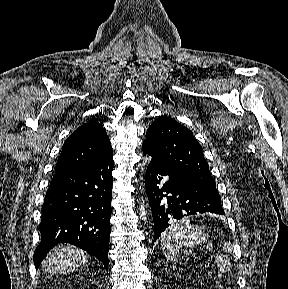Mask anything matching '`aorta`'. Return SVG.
I'll list each match as a JSON object with an SVG mask.
<instances>
[{
	"label": "aorta",
	"mask_w": 288,
	"mask_h": 289,
	"mask_svg": "<svg viewBox=\"0 0 288 289\" xmlns=\"http://www.w3.org/2000/svg\"><path fill=\"white\" fill-rule=\"evenodd\" d=\"M140 217L142 218V220H146V209H145V206L144 204H141L140 207Z\"/></svg>",
	"instance_id": "aorta-1"
}]
</instances>
